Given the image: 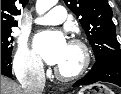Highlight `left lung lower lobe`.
<instances>
[{
  "label": "left lung lower lobe",
  "mask_w": 121,
  "mask_h": 94,
  "mask_svg": "<svg viewBox=\"0 0 121 94\" xmlns=\"http://www.w3.org/2000/svg\"><path fill=\"white\" fill-rule=\"evenodd\" d=\"M99 81L114 83L121 87V58L97 60L87 75L75 82L73 87Z\"/></svg>",
  "instance_id": "0a47b994"
}]
</instances>
